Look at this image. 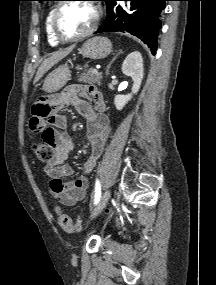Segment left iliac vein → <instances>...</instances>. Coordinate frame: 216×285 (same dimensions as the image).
Here are the masks:
<instances>
[{"instance_id": "1", "label": "left iliac vein", "mask_w": 216, "mask_h": 285, "mask_svg": "<svg viewBox=\"0 0 216 285\" xmlns=\"http://www.w3.org/2000/svg\"><path fill=\"white\" fill-rule=\"evenodd\" d=\"M109 198H110V190H106V191L102 194V196H101V198H100V200H99L97 206H96L95 209L92 211V213H91V219L95 218L97 215H99V214L102 212V210L105 208V206H106V204H107Z\"/></svg>"}]
</instances>
